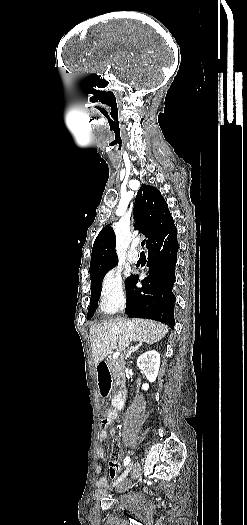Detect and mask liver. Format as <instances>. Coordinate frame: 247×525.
<instances>
[{"mask_svg":"<svg viewBox=\"0 0 247 525\" xmlns=\"http://www.w3.org/2000/svg\"><path fill=\"white\" fill-rule=\"evenodd\" d=\"M167 333V325L149 319L118 317L93 325L90 329V343L94 363L99 365L114 349L119 353H126L130 341L153 345L166 337Z\"/></svg>","mask_w":247,"mask_h":525,"instance_id":"1","label":"liver"}]
</instances>
